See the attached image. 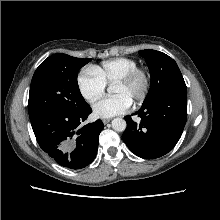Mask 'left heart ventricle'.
Wrapping results in <instances>:
<instances>
[{
	"mask_svg": "<svg viewBox=\"0 0 220 220\" xmlns=\"http://www.w3.org/2000/svg\"><path fill=\"white\" fill-rule=\"evenodd\" d=\"M142 81L140 79L136 80L130 85H114L113 86V95H124L131 101H133L141 92Z\"/></svg>",
	"mask_w": 220,
	"mask_h": 220,
	"instance_id": "obj_1",
	"label": "left heart ventricle"
}]
</instances>
